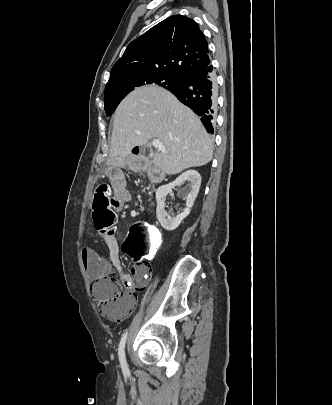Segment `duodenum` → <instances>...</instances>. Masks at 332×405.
Masks as SVG:
<instances>
[{"instance_id": "duodenum-1", "label": "duodenum", "mask_w": 332, "mask_h": 405, "mask_svg": "<svg viewBox=\"0 0 332 405\" xmlns=\"http://www.w3.org/2000/svg\"><path fill=\"white\" fill-rule=\"evenodd\" d=\"M134 154H137V153H134ZM151 177H152V179H153V181L154 182H161L162 180H163V178H162V176L160 175V174H158V173H152L151 174Z\"/></svg>"}]
</instances>
